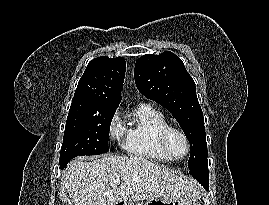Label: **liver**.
<instances>
[{
    "label": "liver",
    "instance_id": "1",
    "mask_svg": "<svg viewBox=\"0 0 269 205\" xmlns=\"http://www.w3.org/2000/svg\"><path fill=\"white\" fill-rule=\"evenodd\" d=\"M116 179L121 184L114 185ZM63 183L74 205H116L149 198L177 200L199 194L191 178L179 177L137 156L106 155L91 162L77 158L66 167Z\"/></svg>",
    "mask_w": 269,
    "mask_h": 205
}]
</instances>
